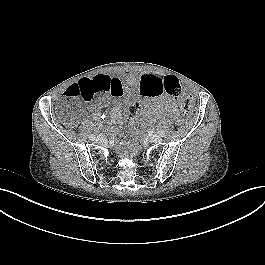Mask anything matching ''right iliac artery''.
<instances>
[{
  "instance_id": "1",
  "label": "right iliac artery",
  "mask_w": 265,
  "mask_h": 265,
  "mask_svg": "<svg viewBox=\"0 0 265 265\" xmlns=\"http://www.w3.org/2000/svg\"><path fill=\"white\" fill-rule=\"evenodd\" d=\"M89 138H90L91 140H94V139L96 138V135H95V134H91V135L89 136Z\"/></svg>"
}]
</instances>
